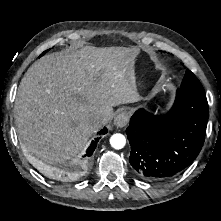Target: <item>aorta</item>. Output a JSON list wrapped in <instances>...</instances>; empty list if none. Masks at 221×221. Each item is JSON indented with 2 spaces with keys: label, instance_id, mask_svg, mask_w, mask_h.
Here are the masks:
<instances>
[{
  "label": "aorta",
  "instance_id": "obj_1",
  "mask_svg": "<svg viewBox=\"0 0 221 221\" xmlns=\"http://www.w3.org/2000/svg\"><path fill=\"white\" fill-rule=\"evenodd\" d=\"M110 144L114 149H122L126 144V138L120 133L113 134L110 138Z\"/></svg>",
  "mask_w": 221,
  "mask_h": 221
}]
</instances>
